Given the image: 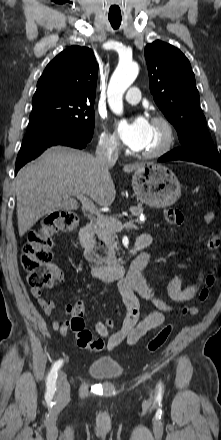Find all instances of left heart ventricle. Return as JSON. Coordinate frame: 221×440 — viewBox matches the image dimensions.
Returning <instances> with one entry per match:
<instances>
[{
    "mask_svg": "<svg viewBox=\"0 0 221 440\" xmlns=\"http://www.w3.org/2000/svg\"><path fill=\"white\" fill-rule=\"evenodd\" d=\"M163 139H164V131L162 130V128L158 125L151 123L147 144L142 149V151H147L157 148L162 143Z\"/></svg>",
    "mask_w": 221,
    "mask_h": 440,
    "instance_id": "left-heart-ventricle-1",
    "label": "left heart ventricle"
}]
</instances>
